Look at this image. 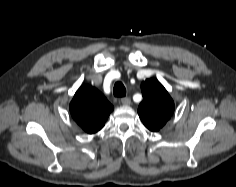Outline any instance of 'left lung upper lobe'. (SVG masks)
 <instances>
[{"label":"left lung upper lobe","instance_id":"obj_1","mask_svg":"<svg viewBox=\"0 0 236 187\" xmlns=\"http://www.w3.org/2000/svg\"><path fill=\"white\" fill-rule=\"evenodd\" d=\"M143 100L138 107V114L143 124L151 131L160 130L174 112V102L167 90L156 79L142 82Z\"/></svg>","mask_w":236,"mask_h":187}]
</instances>
